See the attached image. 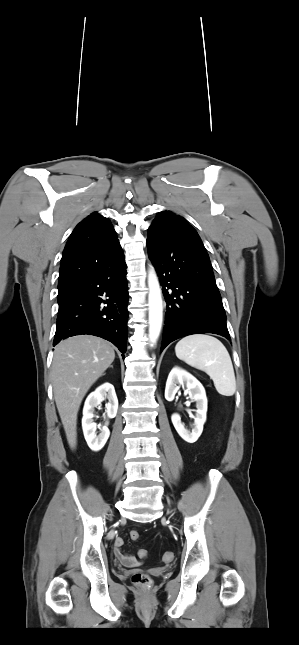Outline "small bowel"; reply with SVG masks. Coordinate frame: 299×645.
<instances>
[{
  "label": "small bowel",
  "instance_id": "obj_1",
  "mask_svg": "<svg viewBox=\"0 0 299 645\" xmlns=\"http://www.w3.org/2000/svg\"><path fill=\"white\" fill-rule=\"evenodd\" d=\"M123 545L124 539L122 537H117L114 542V555L116 559L124 566H136L139 563L138 558L134 555L124 553L122 551Z\"/></svg>",
  "mask_w": 299,
  "mask_h": 645
}]
</instances>
